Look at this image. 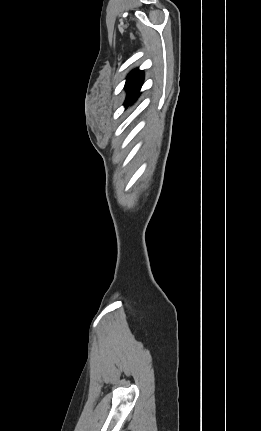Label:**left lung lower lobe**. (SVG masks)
<instances>
[{
    "label": "left lung lower lobe",
    "mask_w": 261,
    "mask_h": 431,
    "mask_svg": "<svg viewBox=\"0 0 261 431\" xmlns=\"http://www.w3.org/2000/svg\"><path fill=\"white\" fill-rule=\"evenodd\" d=\"M138 98V96H136V98L134 99V101Z\"/></svg>",
    "instance_id": "left-lung-lower-lobe-1"
}]
</instances>
